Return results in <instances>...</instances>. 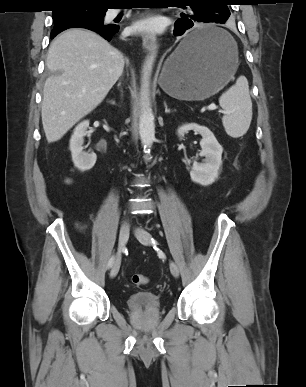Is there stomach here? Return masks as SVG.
Returning a JSON list of instances; mask_svg holds the SVG:
<instances>
[{"instance_id":"0dacf381","label":"stomach","mask_w":306,"mask_h":387,"mask_svg":"<svg viewBox=\"0 0 306 387\" xmlns=\"http://www.w3.org/2000/svg\"><path fill=\"white\" fill-rule=\"evenodd\" d=\"M215 30L221 39L193 52H184L183 43L165 61L159 84L171 97L204 100L221 90L238 68V50L233 38L215 25H202L192 32Z\"/></svg>"}]
</instances>
